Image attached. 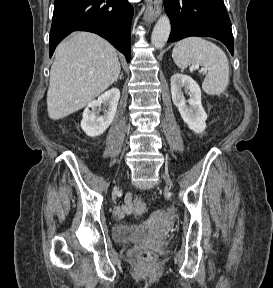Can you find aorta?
<instances>
[{
  "mask_svg": "<svg viewBox=\"0 0 273 288\" xmlns=\"http://www.w3.org/2000/svg\"><path fill=\"white\" fill-rule=\"evenodd\" d=\"M171 31L170 20L167 15H162L155 24L151 36V43L155 48H162L167 42Z\"/></svg>",
  "mask_w": 273,
  "mask_h": 288,
  "instance_id": "1",
  "label": "aorta"
}]
</instances>
